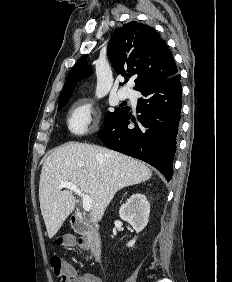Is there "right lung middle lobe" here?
Listing matches in <instances>:
<instances>
[{
	"mask_svg": "<svg viewBox=\"0 0 232 282\" xmlns=\"http://www.w3.org/2000/svg\"><path fill=\"white\" fill-rule=\"evenodd\" d=\"M69 98H70V96L67 97V98H64V99L59 100L58 109L62 108V107L68 102ZM127 108H128V107H121V108L115 109L114 112H107V114L105 115V119H104V125H105L108 121H110V120H112V119L118 117L120 114H122L123 112H125Z\"/></svg>",
	"mask_w": 232,
	"mask_h": 282,
	"instance_id": "obj_1",
	"label": "right lung middle lobe"
}]
</instances>
